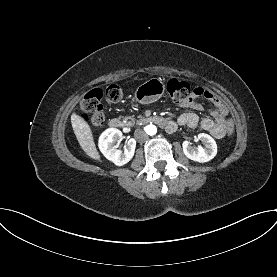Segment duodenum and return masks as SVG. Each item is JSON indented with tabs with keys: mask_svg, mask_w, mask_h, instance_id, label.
<instances>
[{
	"mask_svg": "<svg viewBox=\"0 0 277 277\" xmlns=\"http://www.w3.org/2000/svg\"><path fill=\"white\" fill-rule=\"evenodd\" d=\"M145 121L159 125L160 127L164 128L168 133L174 132L177 128V124L175 122L168 121L167 119L157 115L149 116L145 118ZM109 126L111 128L120 129L125 126V122L121 118L115 117L109 121Z\"/></svg>",
	"mask_w": 277,
	"mask_h": 277,
	"instance_id": "410a0bca",
	"label": "duodenum"
}]
</instances>
